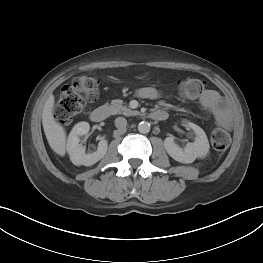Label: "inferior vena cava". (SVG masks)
Here are the masks:
<instances>
[{
	"label": "inferior vena cava",
	"mask_w": 263,
	"mask_h": 263,
	"mask_svg": "<svg viewBox=\"0 0 263 263\" xmlns=\"http://www.w3.org/2000/svg\"><path fill=\"white\" fill-rule=\"evenodd\" d=\"M115 126L116 128H118L119 130H125L126 126H127V120L124 117H117L115 119Z\"/></svg>",
	"instance_id": "602c4592"
}]
</instances>
